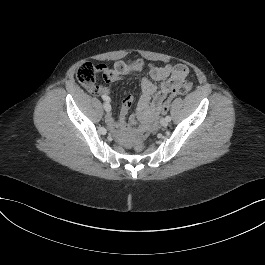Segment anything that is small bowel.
I'll list each match as a JSON object with an SVG mask.
<instances>
[{"label": "small bowel", "mask_w": 265, "mask_h": 265, "mask_svg": "<svg viewBox=\"0 0 265 265\" xmlns=\"http://www.w3.org/2000/svg\"><path fill=\"white\" fill-rule=\"evenodd\" d=\"M99 71L104 75L107 83L120 80L123 76L139 71L133 64L122 60L116 61L113 67L99 65ZM150 78L144 77L141 80V97L138 103V118L143 124H148L161 112V106L167 95L180 83L188 74V69L183 64L155 66L150 69ZM155 82H159L156 85ZM93 94L102 96L110 95V89L106 86H93L88 88ZM110 98V97H109ZM133 103V97L128 95L122 102L120 117L114 119L111 114L105 117L107 125L112 129H119L125 123V117Z\"/></svg>", "instance_id": "c3829d8e"}]
</instances>
